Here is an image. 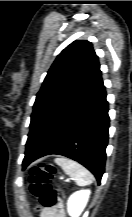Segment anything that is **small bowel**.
Masks as SVG:
<instances>
[{"instance_id": "c3829d8e", "label": "small bowel", "mask_w": 132, "mask_h": 217, "mask_svg": "<svg viewBox=\"0 0 132 217\" xmlns=\"http://www.w3.org/2000/svg\"><path fill=\"white\" fill-rule=\"evenodd\" d=\"M40 217H65L61 203H59V205L55 207L42 208L40 212Z\"/></svg>"}]
</instances>
